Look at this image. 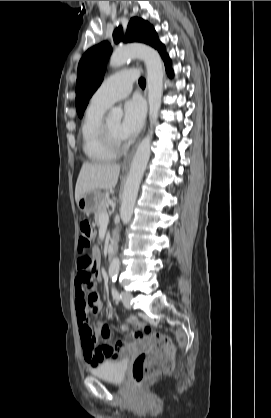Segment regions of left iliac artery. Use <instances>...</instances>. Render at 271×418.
<instances>
[{
	"label": "left iliac artery",
	"mask_w": 271,
	"mask_h": 418,
	"mask_svg": "<svg viewBox=\"0 0 271 418\" xmlns=\"http://www.w3.org/2000/svg\"><path fill=\"white\" fill-rule=\"evenodd\" d=\"M111 293H112L113 298L116 301H120L121 300V294L118 292V290L116 289L115 286H112Z\"/></svg>",
	"instance_id": "1"
}]
</instances>
